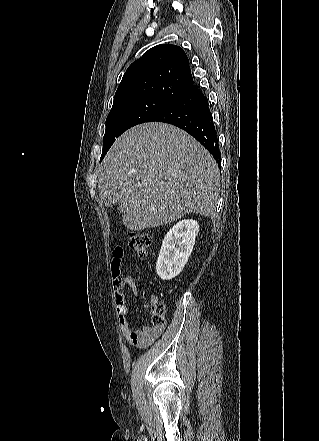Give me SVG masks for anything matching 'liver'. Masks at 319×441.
I'll use <instances>...</instances> for the list:
<instances>
[{
  "mask_svg": "<svg viewBox=\"0 0 319 441\" xmlns=\"http://www.w3.org/2000/svg\"><path fill=\"white\" fill-rule=\"evenodd\" d=\"M99 197L118 205L122 223L140 231L186 214L214 213L220 173L212 155L182 129L160 122L124 132L100 169Z\"/></svg>",
  "mask_w": 319,
  "mask_h": 441,
  "instance_id": "liver-1",
  "label": "liver"
}]
</instances>
